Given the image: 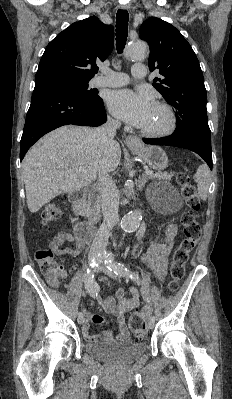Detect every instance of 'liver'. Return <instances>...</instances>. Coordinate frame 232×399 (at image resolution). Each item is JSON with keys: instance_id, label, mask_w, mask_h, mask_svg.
<instances>
[{"instance_id": "6515ba94", "label": "liver", "mask_w": 232, "mask_h": 399, "mask_svg": "<svg viewBox=\"0 0 232 399\" xmlns=\"http://www.w3.org/2000/svg\"><path fill=\"white\" fill-rule=\"evenodd\" d=\"M93 134L94 128L63 126L27 152L22 176L29 211H38L59 194L83 190L100 170H116L121 160L118 142L105 146Z\"/></svg>"}]
</instances>
